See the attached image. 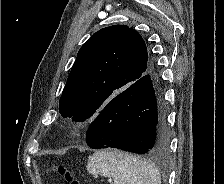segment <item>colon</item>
Returning a JSON list of instances; mask_svg holds the SVG:
<instances>
[{
	"instance_id": "colon-1",
	"label": "colon",
	"mask_w": 224,
	"mask_h": 184,
	"mask_svg": "<svg viewBox=\"0 0 224 184\" xmlns=\"http://www.w3.org/2000/svg\"><path fill=\"white\" fill-rule=\"evenodd\" d=\"M56 171L64 177L66 180L67 184H88L80 181L77 177H75L70 170H68L64 166H58L55 168Z\"/></svg>"
}]
</instances>
